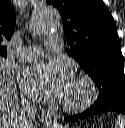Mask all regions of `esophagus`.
I'll use <instances>...</instances> for the list:
<instances>
[{"label":"esophagus","mask_w":125,"mask_h":128,"mask_svg":"<svg viewBox=\"0 0 125 128\" xmlns=\"http://www.w3.org/2000/svg\"><path fill=\"white\" fill-rule=\"evenodd\" d=\"M40 120L42 123H47V122H51V116L46 113V112H43L41 115H40Z\"/></svg>","instance_id":"34e87169"}]
</instances>
